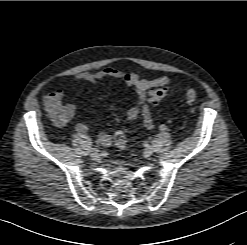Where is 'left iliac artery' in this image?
<instances>
[{
	"instance_id": "left-iliac-artery-1",
	"label": "left iliac artery",
	"mask_w": 247,
	"mask_h": 245,
	"mask_svg": "<svg viewBox=\"0 0 247 245\" xmlns=\"http://www.w3.org/2000/svg\"><path fill=\"white\" fill-rule=\"evenodd\" d=\"M159 128H160L161 131H166L167 130V127L165 125H161Z\"/></svg>"
}]
</instances>
